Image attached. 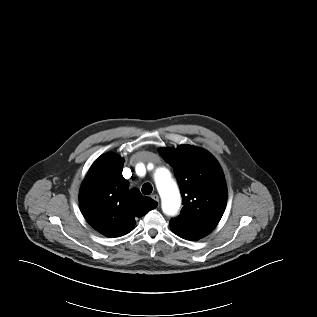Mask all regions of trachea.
<instances>
[{
    "label": "trachea",
    "mask_w": 317,
    "mask_h": 317,
    "mask_svg": "<svg viewBox=\"0 0 317 317\" xmlns=\"http://www.w3.org/2000/svg\"><path fill=\"white\" fill-rule=\"evenodd\" d=\"M153 187L150 183H145L142 186V193L145 195H150L152 193Z\"/></svg>",
    "instance_id": "3493384b"
}]
</instances>
